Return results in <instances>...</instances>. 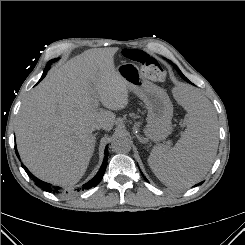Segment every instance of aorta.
I'll return each mask as SVG.
<instances>
[{
	"mask_svg": "<svg viewBox=\"0 0 245 245\" xmlns=\"http://www.w3.org/2000/svg\"><path fill=\"white\" fill-rule=\"evenodd\" d=\"M112 150L116 153H127L131 149V142L130 140L123 136L117 135L111 142Z\"/></svg>",
	"mask_w": 245,
	"mask_h": 245,
	"instance_id": "762f6f07",
	"label": "aorta"
}]
</instances>
